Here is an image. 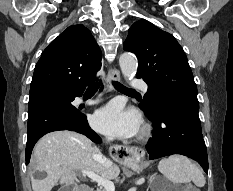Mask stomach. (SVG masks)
Instances as JSON below:
<instances>
[{
  "label": "stomach",
  "instance_id": "1",
  "mask_svg": "<svg viewBox=\"0 0 233 191\" xmlns=\"http://www.w3.org/2000/svg\"><path fill=\"white\" fill-rule=\"evenodd\" d=\"M132 168H134V169H139L138 162L134 163V164L132 165Z\"/></svg>",
  "mask_w": 233,
  "mask_h": 191
}]
</instances>
